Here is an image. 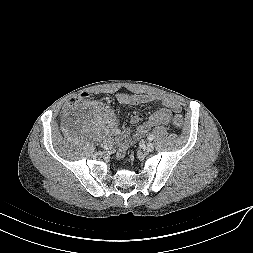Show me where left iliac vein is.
I'll return each instance as SVG.
<instances>
[{
	"label": "left iliac vein",
	"mask_w": 253,
	"mask_h": 253,
	"mask_svg": "<svg viewBox=\"0 0 253 253\" xmlns=\"http://www.w3.org/2000/svg\"><path fill=\"white\" fill-rule=\"evenodd\" d=\"M154 150V144L152 142H148L143 146V151L146 153L152 152Z\"/></svg>",
	"instance_id": "left-iliac-vein-1"
}]
</instances>
